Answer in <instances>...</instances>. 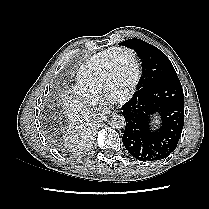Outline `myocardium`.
<instances>
[{
	"instance_id": "obj_1",
	"label": "myocardium",
	"mask_w": 209,
	"mask_h": 209,
	"mask_svg": "<svg viewBox=\"0 0 209 209\" xmlns=\"http://www.w3.org/2000/svg\"><path fill=\"white\" fill-rule=\"evenodd\" d=\"M122 52L130 53L132 55L134 65H135V76H134V80L129 90L123 95L115 96V95H112L110 92L111 76H112V71H113V59L118 53H122ZM140 75H141L140 63H139V60L135 51L126 47H117L116 49H114L111 56L109 57V60L107 62V65L104 71L103 94L105 95V97H107L109 100L113 102L128 101L130 98H132V96L134 95L136 91V88L140 80Z\"/></svg>"
}]
</instances>
